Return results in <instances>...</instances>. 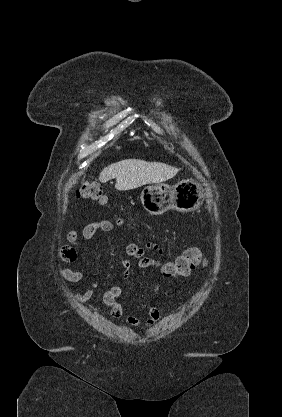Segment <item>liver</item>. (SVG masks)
Masks as SVG:
<instances>
[{
	"label": "liver",
	"mask_w": 282,
	"mask_h": 417,
	"mask_svg": "<svg viewBox=\"0 0 282 417\" xmlns=\"http://www.w3.org/2000/svg\"><path fill=\"white\" fill-rule=\"evenodd\" d=\"M178 170L179 168L165 164V162H146L139 158H125V160L105 166L99 174V180L107 182L110 178H116L117 190H130L142 184L163 182L175 176Z\"/></svg>",
	"instance_id": "6515ba94"
}]
</instances>
